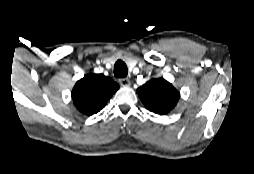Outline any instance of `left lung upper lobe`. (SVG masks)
Wrapping results in <instances>:
<instances>
[{
	"label": "left lung upper lobe",
	"mask_w": 254,
	"mask_h": 174,
	"mask_svg": "<svg viewBox=\"0 0 254 174\" xmlns=\"http://www.w3.org/2000/svg\"><path fill=\"white\" fill-rule=\"evenodd\" d=\"M144 106L157 114L170 112L179 100V92L163 78L151 79L137 89Z\"/></svg>",
	"instance_id": "5c2ea615"
}]
</instances>
